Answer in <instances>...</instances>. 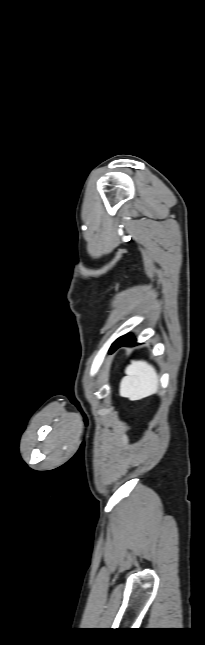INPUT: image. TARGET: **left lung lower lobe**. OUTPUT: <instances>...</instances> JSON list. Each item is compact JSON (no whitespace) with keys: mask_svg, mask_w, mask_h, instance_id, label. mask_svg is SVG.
<instances>
[{"mask_svg":"<svg viewBox=\"0 0 205 645\" xmlns=\"http://www.w3.org/2000/svg\"><path fill=\"white\" fill-rule=\"evenodd\" d=\"M136 339L133 337L131 334H126L124 336H121L118 338L110 347L109 353L114 352L117 348L121 346H130V345H135Z\"/></svg>","mask_w":205,"mask_h":645,"instance_id":"1","label":"left lung lower lobe"}]
</instances>
